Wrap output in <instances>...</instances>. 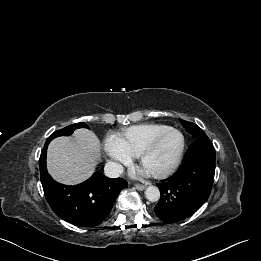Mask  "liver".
Listing matches in <instances>:
<instances>
[{
	"label": "liver",
	"instance_id": "liver-1",
	"mask_svg": "<svg viewBox=\"0 0 261 261\" xmlns=\"http://www.w3.org/2000/svg\"><path fill=\"white\" fill-rule=\"evenodd\" d=\"M100 152L98 137L90 130L78 129L73 137H58L49 144L48 172L62 184H79L93 174Z\"/></svg>",
	"mask_w": 261,
	"mask_h": 261
}]
</instances>
